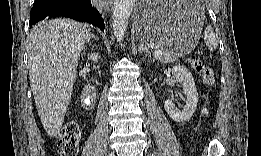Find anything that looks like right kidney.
<instances>
[{
	"label": "right kidney",
	"instance_id": "obj_1",
	"mask_svg": "<svg viewBox=\"0 0 261 156\" xmlns=\"http://www.w3.org/2000/svg\"><path fill=\"white\" fill-rule=\"evenodd\" d=\"M100 56L98 53H91L88 54V59L92 60L93 62H98Z\"/></svg>",
	"mask_w": 261,
	"mask_h": 156
}]
</instances>
